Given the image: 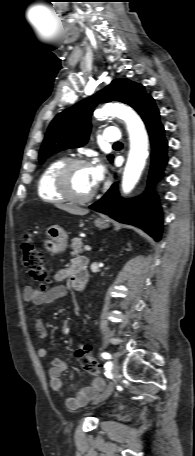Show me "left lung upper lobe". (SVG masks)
<instances>
[{"mask_svg":"<svg viewBox=\"0 0 195 456\" xmlns=\"http://www.w3.org/2000/svg\"><path fill=\"white\" fill-rule=\"evenodd\" d=\"M150 97L140 84L127 79L113 80L95 96L78 102L53 119L40 150V163L56 152L81 147L87 142L91 130L90 115L98 103L120 101L137 111ZM108 158L112 160L113 156Z\"/></svg>","mask_w":195,"mask_h":456,"instance_id":"obj_1","label":"left lung upper lobe"}]
</instances>
